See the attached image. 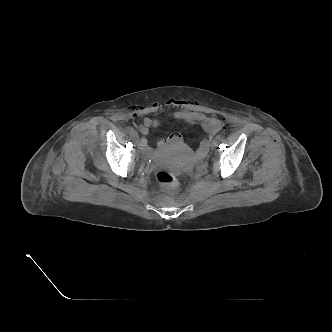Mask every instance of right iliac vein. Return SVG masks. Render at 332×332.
Listing matches in <instances>:
<instances>
[{
	"label": "right iliac vein",
	"mask_w": 332,
	"mask_h": 332,
	"mask_svg": "<svg viewBox=\"0 0 332 332\" xmlns=\"http://www.w3.org/2000/svg\"><path fill=\"white\" fill-rule=\"evenodd\" d=\"M132 135H133L134 138L138 139V133L136 131H133Z\"/></svg>",
	"instance_id": "1"
}]
</instances>
